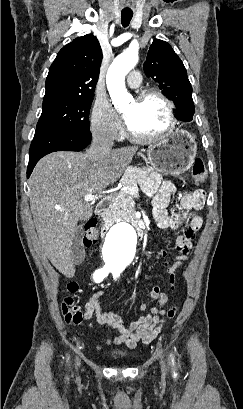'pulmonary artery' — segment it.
Listing matches in <instances>:
<instances>
[{
	"mask_svg": "<svg viewBox=\"0 0 243 409\" xmlns=\"http://www.w3.org/2000/svg\"><path fill=\"white\" fill-rule=\"evenodd\" d=\"M127 83L132 88H137L141 84V74L138 71H131L127 76Z\"/></svg>",
	"mask_w": 243,
	"mask_h": 409,
	"instance_id": "1",
	"label": "pulmonary artery"
}]
</instances>
